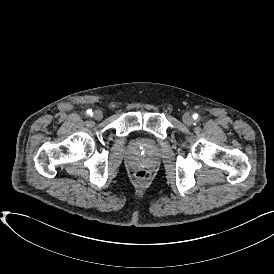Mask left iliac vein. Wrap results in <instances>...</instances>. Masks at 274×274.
Wrapping results in <instances>:
<instances>
[{
    "label": "left iliac vein",
    "instance_id": "obj_1",
    "mask_svg": "<svg viewBox=\"0 0 274 274\" xmlns=\"http://www.w3.org/2000/svg\"><path fill=\"white\" fill-rule=\"evenodd\" d=\"M182 120L187 126H190L193 123V118L189 113H185L182 117Z\"/></svg>",
    "mask_w": 274,
    "mask_h": 274
}]
</instances>
